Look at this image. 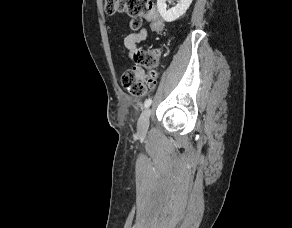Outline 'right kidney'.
<instances>
[{
  "label": "right kidney",
  "mask_w": 292,
  "mask_h": 228,
  "mask_svg": "<svg viewBox=\"0 0 292 228\" xmlns=\"http://www.w3.org/2000/svg\"><path fill=\"white\" fill-rule=\"evenodd\" d=\"M193 0H179L178 4L167 10L166 0H157V8L166 22H173L185 14Z\"/></svg>",
  "instance_id": "right-kidney-1"
}]
</instances>
